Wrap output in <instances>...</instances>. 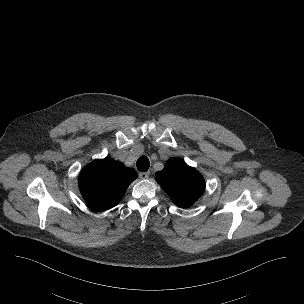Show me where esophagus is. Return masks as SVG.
<instances>
[{"instance_id":"obj_1","label":"esophagus","mask_w":304,"mask_h":304,"mask_svg":"<svg viewBox=\"0 0 304 304\" xmlns=\"http://www.w3.org/2000/svg\"><path fill=\"white\" fill-rule=\"evenodd\" d=\"M149 175H150L149 172H141V173L139 174V177H140L141 179H147V178L149 177Z\"/></svg>"}]
</instances>
